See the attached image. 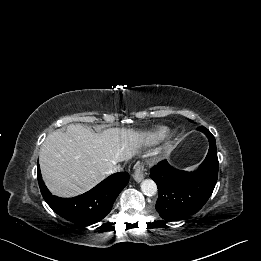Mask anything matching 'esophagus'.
<instances>
[{
	"instance_id": "obj_1",
	"label": "esophagus",
	"mask_w": 261,
	"mask_h": 261,
	"mask_svg": "<svg viewBox=\"0 0 261 261\" xmlns=\"http://www.w3.org/2000/svg\"><path fill=\"white\" fill-rule=\"evenodd\" d=\"M133 178L137 182L142 181L144 178V168L140 162H137L134 166Z\"/></svg>"
}]
</instances>
